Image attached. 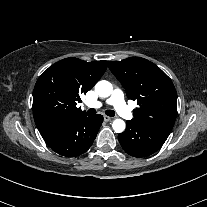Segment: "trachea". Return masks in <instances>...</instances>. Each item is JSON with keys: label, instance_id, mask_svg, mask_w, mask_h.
<instances>
[{"label": "trachea", "instance_id": "obj_1", "mask_svg": "<svg viewBox=\"0 0 207 207\" xmlns=\"http://www.w3.org/2000/svg\"><path fill=\"white\" fill-rule=\"evenodd\" d=\"M87 113L89 115H94V114H96V110L94 108H90ZM105 114L110 117H113L115 115V112L113 110H106Z\"/></svg>", "mask_w": 207, "mask_h": 207}]
</instances>
